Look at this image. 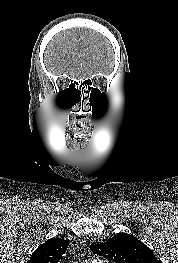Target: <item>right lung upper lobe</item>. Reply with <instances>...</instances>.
Wrapping results in <instances>:
<instances>
[{
	"label": "right lung upper lobe",
	"instance_id": "right-lung-upper-lobe-1",
	"mask_svg": "<svg viewBox=\"0 0 178 263\" xmlns=\"http://www.w3.org/2000/svg\"><path fill=\"white\" fill-rule=\"evenodd\" d=\"M68 245L67 240L52 238L39 246L27 263H59Z\"/></svg>",
	"mask_w": 178,
	"mask_h": 263
}]
</instances>
